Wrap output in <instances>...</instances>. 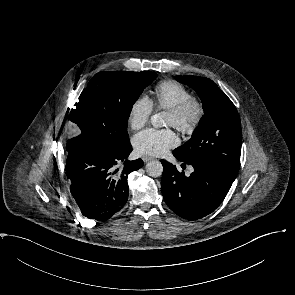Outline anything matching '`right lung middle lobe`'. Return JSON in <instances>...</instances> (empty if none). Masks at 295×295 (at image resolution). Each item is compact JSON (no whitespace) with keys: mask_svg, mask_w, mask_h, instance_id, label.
Returning <instances> with one entry per match:
<instances>
[{"mask_svg":"<svg viewBox=\"0 0 295 295\" xmlns=\"http://www.w3.org/2000/svg\"><path fill=\"white\" fill-rule=\"evenodd\" d=\"M156 76L149 71H106L94 75L75 107L66 114L67 120L80 129V135L67 141V151L87 141L126 147L130 143L127 123L133 104Z\"/></svg>","mask_w":295,"mask_h":295,"instance_id":"1","label":"right lung middle lobe"}]
</instances>
